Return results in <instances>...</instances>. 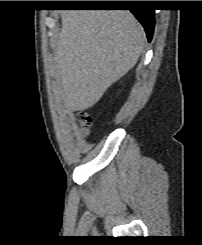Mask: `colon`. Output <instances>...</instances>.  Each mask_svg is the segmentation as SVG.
Wrapping results in <instances>:
<instances>
[{"mask_svg":"<svg viewBox=\"0 0 202 245\" xmlns=\"http://www.w3.org/2000/svg\"><path fill=\"white\" fill-rule=\"evenodd\" d=\"M77 119H78L79 124L84 128H88L91 125L90 116L84 112H79L77 114Z\"/></svg>","mask_w":202,"mask_h":245,"instance_id":"colon-1","label":"colon"}]
</instances>
